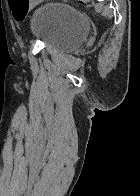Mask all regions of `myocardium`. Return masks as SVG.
Wrapping results in <instances>:
<instances>
[{"label": "myocardium", "instance_id": "f54148a6", "mask_svg": "<svg viewBox=\"0 0 140 196\" xmlns=\"http://www.w3.org/2000/svg\"><path fill=\"white\" fill-rule=\"evenodd\" d=\"M35 192H67V191H35Z\"/></svg>", "mask_w": 140, "mask_h": 196}]
</instances>
